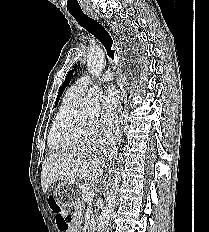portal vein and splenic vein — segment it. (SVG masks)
Listing matches in <instances>:
<instances>
[{
  "label": "portal vein and splenic vein",
  "instance_id": "obj_1",
  "mask_svg": "<svg viewBox=\"0 0 209 232\" xmlns=\"http://www.w3.org/2000/svg\"><path fill=\"white\" fill-rule=\"evenodd\" d=\"M95 195L94 190H89L85 195H83V200L84 201H91Z\"/></svg>",
  "mask_w": 209,
  "mask_h": 232
}]
</instances>
